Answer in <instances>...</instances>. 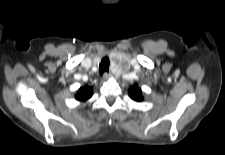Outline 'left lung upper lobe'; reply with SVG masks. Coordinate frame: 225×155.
<instances>
[{
    "instance_id": "1",
    "label": "left lung upper lobe",
    "mask_w": 225,
    "mask_h": 155,
    "mask_svg": "<svg viewBox=\"0 0 225 155\" xmlns=\"http://www.w3.org/2000/svg\"><path fill=\"white\" fill-rule=\"evenodd\" d=\"M129 95L135 101H142L143 100L142 91H141L140 88H138L137 85H134L129 89Z\"/></svg>"
}]
</instances>
